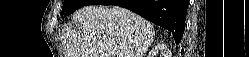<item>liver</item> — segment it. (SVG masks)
Wrapping results in <instances>:
<instances>
[{"instance_id":"obj_1","label":"liver","mask_w":249,"mask_h":57,"mask_svg":"<svg viewBox=\"0 0 249 57\" xmlns=\"http://www.w3.org/2000/svg\"><path fill=\"white\" fill-rule=\"evenodd\" d=\"M73 19L83 29H63L66 57H144L155 37L150 22L119 6H85Z\"/></svg>"}]
</instances>
